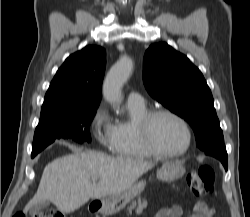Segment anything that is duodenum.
I'll list each match as a JSON object with an SVG mask.
<instances>
[{"label":"duodenum","instance_id":"duodenum-1","mask_svg":"<svg viewBox=\"0 0 250 217\" xmlns=\"http://www.w3.org/2000/svg\"><path fill=\"white\" fill-rule=\"evenodd\" d=\"M101 208V205L100 204H92L91 207H90V210L92 212H98Z\"/></svg>","mask_w":250,"mask_h":217}]
</instances>
